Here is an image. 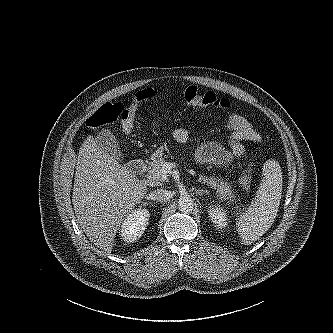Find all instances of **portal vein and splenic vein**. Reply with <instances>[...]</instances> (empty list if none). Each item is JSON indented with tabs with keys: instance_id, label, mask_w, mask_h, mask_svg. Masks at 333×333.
Listing matches in <instances>:
<instances>
[{
	"instance_id": "obj_1",
	"label": "portal vein and splenic vein",
	"mask_w": 333,
	"mask_h": 333,
	"mask_svg": "<svg viewBox=\"0 0 333 333\" xmlns=\"http://www.w3.org/2000/svg\"><path fill=\"white\" fill-rule=\"evenodd\" d=\"M174 164L173 163H170V162H165L163 165H162V175L164 177L167 176L168 173L171 172V170L174 168Z\"/></svg>"
}]
</instances>
